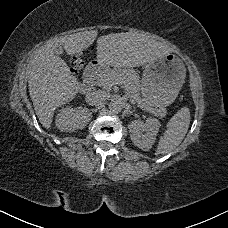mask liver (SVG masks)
Returning <instances> with one entry per match:
<instances>
[{
	"label": "liver",
	"mask_w": 228,
	"mask_h": 228,
	"mask_svg": "<svg viewBox=\"0 0 228 228\" xmlns=\"http://www.w3.org/2000/svg\"><path fill=\"white\" fill-rule=\"evenodd\" d=\"M98 37L88 30L55 38L30 59L28 87L35 115L42 127L51 131L55 113L85 91L84 84L57 55L58 45L71 56L84 55ZM173 50L138 32L112 33L98 40L100 67L135 68L153 63Z\"/></svg>",
	"instance_id": "liver-1"
}]
</instances>
